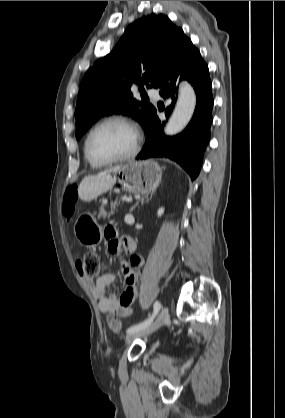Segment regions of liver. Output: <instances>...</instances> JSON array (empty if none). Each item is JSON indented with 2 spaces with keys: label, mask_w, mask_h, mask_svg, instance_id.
<instances>
[{
  "label": "liver",
  "mask_w": 285,
  "mask_h": 418,
  "mask_svg": "<svg viewBox=\"0 0 285 418\" xmlns=\"http://www.w3.org/2000/svg\"><path fill=\"white\" fill-rule=\"evenodd\" d=\"M118 169L119 166L98 175L84 177L78 186L79 198L84 201H91L111 189L116 182V177L112 176L111 173L116 172Z\"/></svg>",
  "instance_id": "liver-1"
}]
</instances>
